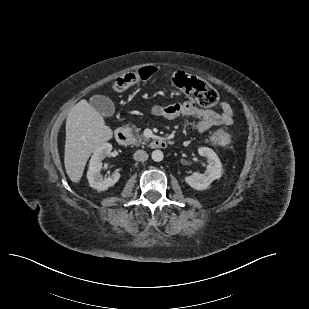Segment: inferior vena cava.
<instances>
[{"mask_svg":"<svg viewBox=\"0 0 309 309\" xmlns=\"http://www.w3.org/2000/svg\"><path fill=\"white\" fill-rule=\"evenodd\" d=\"M134 159L136 161H141V162H144L148 159V154L146 151L144 150H137L135 153H134Z\"/></svg>","mask_w":309,"mask_h":309,"instance_id":"obj_1","label":"inferior vena cava"}]
</instances>
